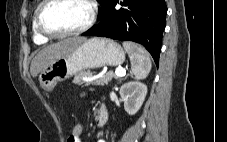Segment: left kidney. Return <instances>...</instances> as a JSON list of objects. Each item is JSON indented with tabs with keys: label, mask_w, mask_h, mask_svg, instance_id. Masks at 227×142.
Wrapping results in <instances>:
<instances>
[{
	"label": "left kidney",
	"mask_w": 227,
	"mask_h": 142,
	"mask_svg": "<svg viewBox=\"0 0 227 142\" xmlns=\"http://www.w3.org/2000/svg\"><path fill=\"white\" fill-rule=\"evenodd\" d=\"M119 93L124 102L125 111L129 115H134L145 100L147 86L141 82L130 81L121 86Z\"/></svg>",
	"instance_id": "1"
}]
</instances>
